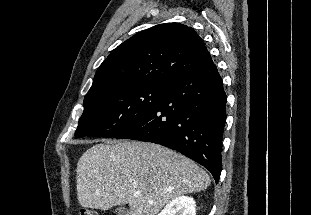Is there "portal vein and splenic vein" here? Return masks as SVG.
<instances>
[{
    "instance_id": "1",
    "label": "portal vein and splenic vein",
    "mask_w": 311,
    "mask_h": 215,
    "mask_svg": "<svg viewBox=\"0 0 311 215\" xmlns=\"http://www.w3.org/2000/svg\"><path fill=\"white\" fill-rule=\"evenodd\" d=\"M140 195H141V193L139 191L134 192L135 197H139Z\"/></svg>"
}]
</instances>
